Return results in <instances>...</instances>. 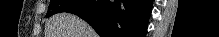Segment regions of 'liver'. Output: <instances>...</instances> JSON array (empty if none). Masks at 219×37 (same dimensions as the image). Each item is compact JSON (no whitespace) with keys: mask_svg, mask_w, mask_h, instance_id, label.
<instances>
[{"mask_svg":"<svg viewBox=\"0 0 219 37\" xmlns=\"http://www.w3.org/2000/svg\"><path fill=\"white\" fill-rule=\"evenodd\" d=\"M45 37H97L82 19L70 13H59L50 18Z\"/></svg>","mask_w":219,"mask_h":37,"instance_id":"liver-1","label":"liver"}]
</instances>
